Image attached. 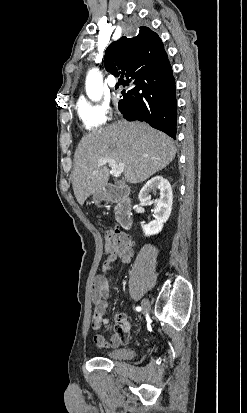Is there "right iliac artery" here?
<instances>
[{
  "mask_svg": "<svg viewBox=\"0 0 247 413\" xmlns=\"http://www.w3.org/2000/svg\"><path fill=\"white\" fill-rule=\"evenodd\" d=\"M136 310H137V311H140V310H141V307H137Z\"/></svg>",
  "mask_w": 247,
  "mask_h": 413,
  "instance_id": "1",
  "label": "right iliac artery"
}]
</instances>
